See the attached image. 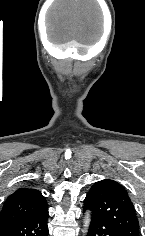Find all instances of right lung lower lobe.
<instances>
[{
  "instance_id": "obj_1",
  "label": "right lung lower lobe",
  "mask_w": 145,
  "mask_h": 236,
  "mask_svg": "<svg viewBox=\"0 0 145 236\" xmlns=\"http://www.w3.org/2000/svg\"><path fill=\"white\" fill-rule=\"evenodd\" d=\"M48 209L0 224V236H48Z\"/></svg>"
}]
</instances>
